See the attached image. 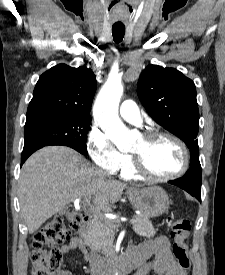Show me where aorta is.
Segmentation results:
<instances>
[{
    "mask_svg": "<svg viewBox=\"0 0 225 275\" xmlns=\"http://www.w3.org/2000/svg\"><path fill=\"white\" fill-rule=\"evenodd\" d=\"M123 94L119 80L108 79L101 88L93 108L100 128L120 150H128L134 141L133 134L120 120L118 107Z\"/></svg>",
    "mask_w": 225,
    "mask_h": 275,
    "instance_id": "1",
    "label": "aorta"
}]
</instances>
